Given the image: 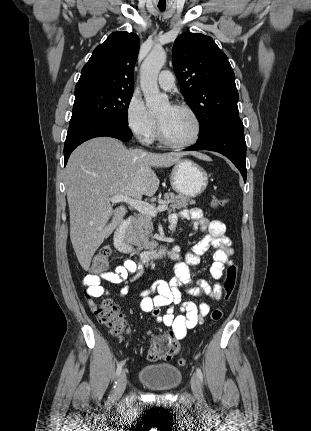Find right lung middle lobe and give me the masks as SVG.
<instances>
[{
	"mask_svg": "<svg viewBox=\"0 0 311 431\" xmlns=\"http://www.w3.org/2000/svg\"><path fill=\"white\" fill-rule=\"evenodd\" d=\"M133 91L88 88L75 91L70 124L89 119H109L127 124V110Z\"/></svg>",
	"mask_w": 311,
	"mask_h": 431,
	"instance_id": "dd1d6c3e",
	"label": "right lung middle lobe"
}]
</instances>
